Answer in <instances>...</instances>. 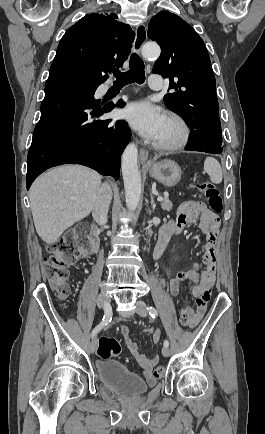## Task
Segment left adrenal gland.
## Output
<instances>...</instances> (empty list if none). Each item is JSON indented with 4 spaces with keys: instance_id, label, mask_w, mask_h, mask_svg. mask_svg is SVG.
Masks as SVG:
<instances>
[{
    "instance_id": "1",
    "label": "left adrenal gland",
    "mask_w": 265,
    "mask_h": 434,
    "mask_svg": "<svg viewBox=\"0 0 265 434\" xmlns=\"http://www.w3.org/2000/svg\"><path fill=\"white\" fill-rule=\"evenodd\" d=\"M151 206H152L153 210H155V206H156V204H155V202H154V200H153V196H152V194H151Z\"/></svg>"
}]
</instances>
